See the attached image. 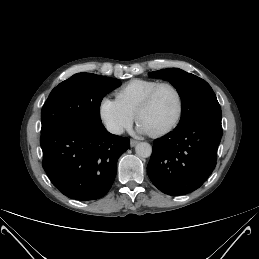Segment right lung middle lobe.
<instances>
[{"label": "right lung middle lobe", "instance_id": "1", "mask_svg": "<svg viewBox=\"0 0 259 259\" xmlns=\"http://www.w3.org/2000/svg\"><path fill=\"white\" fill-rule=\"evenodd\" d=\"M119 80L77 73L55 87L41 111V132L61 124H101L100 103Z\"/></svg>", "mask_w": 259, "mask_h": 259}]
</instances>
